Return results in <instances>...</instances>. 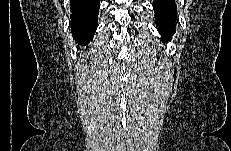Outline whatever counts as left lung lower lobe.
Returning a JSON list of instances; mask_svg holds the SVG:
<instances>
[{"label": "left lung lower lobe", "instance_id": "0a47b994", "mask_svg": "<svg viewBox=\"0 0 231 151\" xmlns=\"http://www.w3.org/2000/svg\"><path fill=\"white\" fill-rule=\"evenodd\" d=\"M153 9L155 12V22L158 26L162 42H168L176 31V3L174 0H154Z\"/></svg>", "mask_w": 231, "mask_h": 151}]
</instances>
